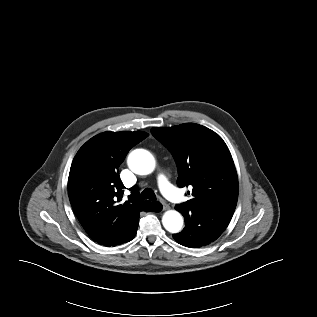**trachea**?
Wrapping results in <instances>:
<instances>
[{
  "mask_svg": "<svg viewBox=\"0 0 317 317\" xmlns=\"http://www.w3.org/2000/svg\"><path fill=\"white\" fill-rule=\"evenodd\" d=\"M140 199H149L151 201H155L156 200V195H155V193H154V191L152 189L146 188L140 194Z\"/></svg>",
  "mask_w": 317,
  "mask_h": 317,
  "instance_id": "1",
  "label": "trachea"
}]
</instances>
